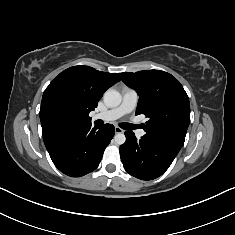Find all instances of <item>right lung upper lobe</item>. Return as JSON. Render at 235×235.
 <instances>
[{"label":"right lung upper lobe","mask_w":235,"mask_h":235,"mask_svg":"<svg viewBox=\"0 0 235 235\" xmlns=\"http://www.w3.org/2000/svg\"><path fill=\"white\" fill-rule=\"evenodd\" d=\"M120 80L117 73L73 66L55 77L44 91L40 120L43 135L60 128L91 124L89 113L103 93ZM59 113L60 117H56Z\"/></svg>","instance_id":"obj_1"}]
</instances>
